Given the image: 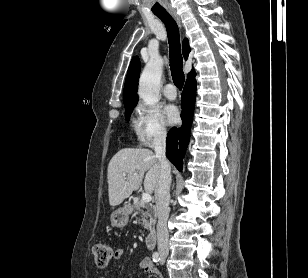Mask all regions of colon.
Listing matches in <instances>:
<instances>
[{"mask_svg": "<svg viewBox=\"0 0 308 278\" xmlns=\"http://www.w3.org/2000/svg\"><path fill=\"white\" fill-rule=\"evenodd\" d=\"M93 257L98 267L105 268L113 257V249L107 243H98L93 248Z\"/></svg>", "mask_w": 308, "mask_h": 278, "instance_id": "colon-1", "label": "colon"}]
</instances>
